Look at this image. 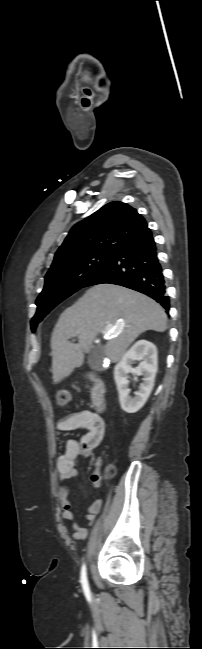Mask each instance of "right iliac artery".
<instances>
[{
    "label": "right iliac artery",
    "mask_w": 202,
    "mask_h": 649,
    "mask_svg": "<svg viewBox=\"0 0 202 649\" xmlns=\"http://www.w3.org/2000/svg\"><path fill=\"white\" fill-rule=\"evenodd\" d=\"M81 584L83 591L87 597H90V589H89V584H88V579H87V572H86V565H82L81 569V576H80Z\"/></svg>",
    "instance_id": "82829eb1"
}]
</instances>
